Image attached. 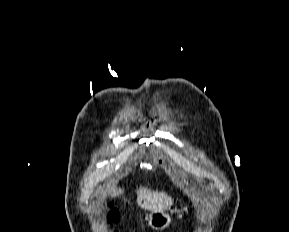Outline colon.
<instances>
[{
  "label": "colon",
  "mask_w": 289,
  "mask_h": 232,
  "mask_svg": "<svg viewBox=\"0 0 289 232\" xmlns=\"http://www.w3.org/2000/svg\"><path fill=\"white\" fill-rule=\"evenodd\" d=\"M106 221L108 224H115L119 221V212L111 204L108 205ZM113 232H117V231H113Z\"/></svg>",
  "instance_id": "colon-1"
}]
</instances>
